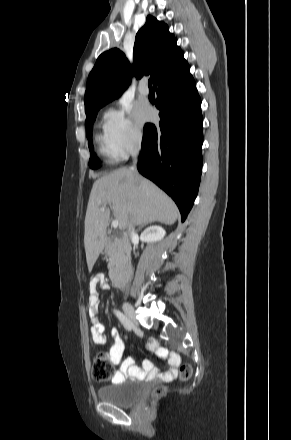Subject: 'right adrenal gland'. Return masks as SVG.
<instances>
[{
  "label": "right adrenal gland",
  "mask_w": 291,
  "mask_h": 440,
  "mask_svg": "<svg viewBox=\"0 0 291 440\" xmlns=\"http://www.w3.org/2000/svg\"><path fill=\"white\" fill-rule=\"evenodd\" d=\"M145 225H146V224L141 225V226L138 228V231H140Z\"/></svg>",
  "instance_id": "1"
}]
</instances>
